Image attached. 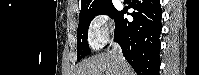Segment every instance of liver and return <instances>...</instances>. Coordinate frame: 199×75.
Returning a JSON list of instances; mask_svg holds the SVG:
<instances>
[{
	"label": "liver",
	"mask_w": 199,
	"mask_h": 75,
	"mask_svg": "<svg viewBox=\"0 0 199 75\" xmlns=\"http://www.w3.org/2000/svg\"><path fill=\"white\" fill-rule=\"evenodd\" d=\"M76 75H135V72L126 61H119L117 54L109 51L84 60Z\"/></svg>",
	"instance_id": "liver-1"
}]
</instances>
